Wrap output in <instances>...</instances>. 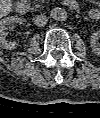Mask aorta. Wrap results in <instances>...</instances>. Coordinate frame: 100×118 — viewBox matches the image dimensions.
<instances>
[{
    "label": "aorta",
    "mask_w": 100,
    "mask_h": 118,
    "mask_svg": "<svg viewBox=\"0 0 100 118\" xmlns=\"http://www.w3.org/2000/svg\"><path fill=\"white\" fill-rule=\"evenodd\" d=\"M50 16L57 21H64L67 19V12L60 7H55L50 11Z\"/></svg>",
    "instance_id": "aorta-1"
}]
</instances>
